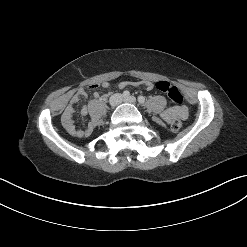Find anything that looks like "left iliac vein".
Listing matches in <instances>:
<instances>
[{
    "instance_id": "left-iliac-vein-1",
    "label": "left iliac vein",
    "mask_w": 247,
    "mask_h": 247,
    "mask_svg": "<svg viewBox=\"0 0 247 247\" xmlns=\"http://www.w3.org/2000/svg\"><path fill=\"white\" fill-rule=\"evenodd\" d=\"M123 101L127 103H131V104H135L136 98L134 96H130V97L124 98Z\"/></svg>"
}]
</instances>
